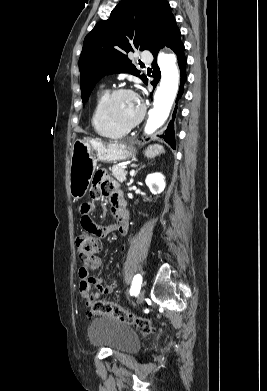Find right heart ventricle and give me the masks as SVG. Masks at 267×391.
<instances>
[{
    "label": "right heart ventricle",
    "mask_w": 267,
    "mask_h": 391,
    "mask_svg": "<svg viewBox=\"0 0 267 391\" xmlns=\"http://www.w3.org/2000/svg\"><path fill=\"white\" fill-rule=\"evenodd\" d=\"M109 94V91L107 89L99 91L97 94L93 111H92V117L91 122L95 129V131L107 138H120L122 137L126 131L117 129L114 127L106 118L104 114V103Z\"/></svg>",
    "instance_id": "1"
}]
</instances>
